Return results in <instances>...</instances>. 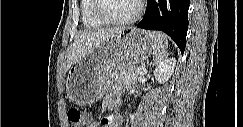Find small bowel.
<instances>
[{
	"instance_id": "small-bowel-1",
	"label": "small bowel",
	"mask_w": 243,
	"mask_h": 127,
	"mask_svg": "<svg viewBox=\"0 0 243 127\" xmlns=\"http://www.w3.org/2000/svg\"><path fill=\"white\" fill-rule=\"evenodd\" d=\"M105 104L109 107H117L118 97L115 91H111L105 100ZM85 125L87 127H98L100 124L97 121H94L91 115L87 114L85 117ZM102 124L106 127H118L119 120L114 118H105L102 120Z\"/></svg>"
}]
</instances>
